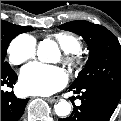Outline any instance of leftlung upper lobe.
I'll return each mask as SVG.
<instances>
[{
  "label": "left lung upper lobe",
  "instance_id": "5c2ea615",
  "mask_svg": "<svg viewBox=\"0 0 121 121\" xmlns=\"http://www.w3.org/2000/svg\"><path fill=\"white\" fill-rule=\"evenodd\" d=\"M59 28L81 35L90 48L86 66L71 86H99L121 98V46L117 38L105 27L84 20Z\"/></svg>",
  "mask_w": 121,
  "mask_h": 121
}]
</instances>
